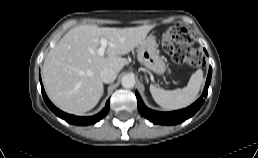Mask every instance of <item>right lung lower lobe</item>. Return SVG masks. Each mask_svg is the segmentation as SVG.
I'll list each match as a JSON object with an SVG mask.
<instances>
[{
  "label": "right lung lower lobe",
  "mask_w": 258,
  "mask_h": 158,
  "mask_svg": "<svg viewBox=\"0 0 258 158\" xmlns=\"http://www.w3.org/2000/svg\"><path fill=\"white\" fill-rule=\"evenodd\" d=\"M40 83H41V91H42V95L43 98L45 100V103L47 104V106L50 108L51 111H53L58 117L64 119L66 122L70 123V124H75V125H89V124H94L96 122H98L99 120H101L108 112H109V106H110V100H108L106 102V105L104 107V109L98 113L97 115L94 116H90V117H78V116H73V115H69L66 114L64 112H62L61 110H59L58 108H56L51 101L49 100V98L47 97L43 85H42V81H41V77H40Z\"/></svg>",
  "instance_id": "right-lung-lower-lobe-1"
}]
</instances>
